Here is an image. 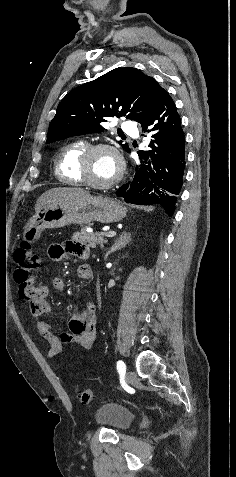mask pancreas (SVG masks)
Returning <instances> with one entry per match:
<instances>
[{
    "label": "pancreas",
    "mask_w": 236,
    "mask_h": 477,
    "mask_svg": "<svg viewBox=\"0 0 236 477\" xmlns=\"http://www.w3.org/2000/svg\"><path fill=\"white\" fill-rule=\"evenodd\" d=\"M105 233H89L85 228H82L80 232H75L72 235V240L81 244H88L91 248H96L100 245L102 248L107 241L103 238Z\"/></svg>",
    "instance_id": "cf45deb5"
}]
</instances>
